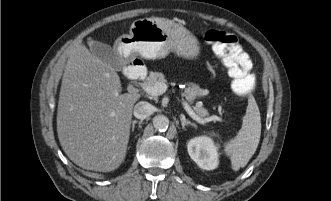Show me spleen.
Here are the masks:
<instances>
[{
	"mask_svg": "<svg viewBox=\"0 0 331 201\" xmlns=\"http://www.w3.org/2000/svg\"><path fill=\"white\" fill-rule=\"evenodd\" d=\"M261 135V118L256 101L250 98L237 136L225 144V153L230 156L234 171L245 167L254 155Z\"/></svg>",
	"mask_w": 331,
	"mask_h": 201,
	"instance_id": "spleen-1",
	"label": "spleen"
}]
</instances>
